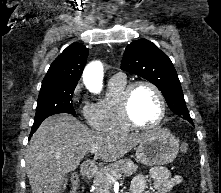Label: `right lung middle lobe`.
<instances>
[{
  "label": "right lung middle lobe",
  "instance_id": "dd1d6c3e",
  "mask_svg": "<svg viewBox=\"0 0 221 193\" xmlns=\"http://www.w3.org/2000/svg\"><path fill=\"white\" fill-rule=\"evenodd\" d=\"M76 86L42 88L39 93L34 123L58 113L75 114L72 95Z\"/></svg>",
  "mask_w": 221,
  "mask_h": 193
}]
</instances>
